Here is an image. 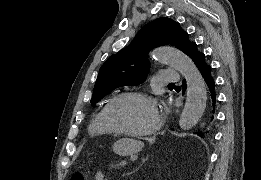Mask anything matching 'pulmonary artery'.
Here are the masks:
<instances>
[{
    "mask_svg": "<svg viewBox=\"0 0 261 180\" xmlns=\"http://www.w3.org/2000/svg\"><path fill=\"white\" fill-rule=\"evenodd\" d=\"M160 77H183V72H160ZM185 78H161V83H185Z\"/></svg>",
    "mask_w": 261,
    "mask_h": 180,
    "instance_id": "pulmonary-artery-1",
    "label": "pulmonary artery"
}]
</instances>
